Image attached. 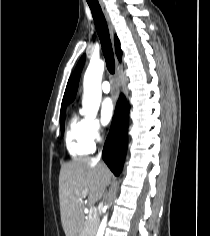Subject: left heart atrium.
I'll return each instance as SVG.
<instances>
[{
	"mask_svg": "<svg viewBox=\"0 0 210 236\" xmlns=\"http://www.w3.org/2000/svg\"><path fill=\"white\" fill-rule=\"evenodd\" d=\"M114 115V103L111 98H106L101 104V121L104 125L111 122Z\"/></svg>",
	"mask_w": 210,
	"mask_h": 236,
	"instance_id": "obj_1",
	"label": "left heart atrium"
}]
</instances>
